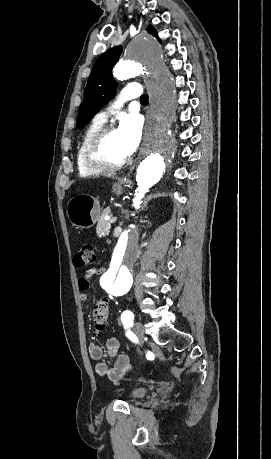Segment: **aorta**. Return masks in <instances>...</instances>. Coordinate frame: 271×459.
<instances>
[{
	"mask_svg": "<svg viewBox=\"0 0 271 459\" xmlns=\"http://www.w3.org/2000/svg\"><path fill=\"white\" fill-rule=\"evenodd\" d=\"M146 74L150 85V121L140 152L137 188L132 206L139 209L149 188L157 184L171 165L176 142L171 132L175 118L176 91L157 42L149 36L136 37L127 49V59L113 69L118 80ZM139 231L133 224L125 227L114 248L101 286L111 295L126 294L133 283L132 267L139 254Z\"/></svg>",
	"mask_w": 271,
	"mask_h": 459,
	"instance_id": "obj_1",
	"label": "aorta"
}]
</instances>
